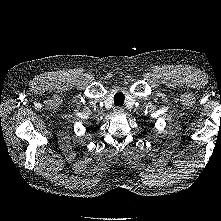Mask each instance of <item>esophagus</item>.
I'll use <instances>...</instances> for the list:
<instances>
[{
  "label": "esophagus",
  "mask_w": 221,
  "mask_h": 221,
  "mask_svg": "<svg viewBox=\"0 0 221 221\" xmlns=\"http://www.w3.org/2000/svg\"><path fill=\"white\" fill-rule=\"evenodd\" d=\"M123 112H124V109H123L122 107L117 106V107L114 109V113H115L116 115H121Z\"/></svg>",
  "instance_id": "esophagus-1"
}]
</instances>
